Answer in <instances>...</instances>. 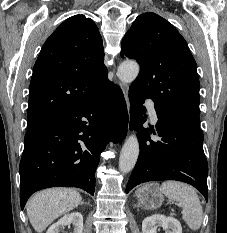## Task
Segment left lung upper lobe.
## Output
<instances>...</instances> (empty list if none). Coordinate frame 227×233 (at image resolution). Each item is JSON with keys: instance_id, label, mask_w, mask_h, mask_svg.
I'll return each instance as SVG.
<instances>
[{"instance_id": "obj_1", "label": "left lung upper lobe", "mask_w": 227, "mask_h": 233, "mask_svg": "<svg viewBox=\"0 0 227 233\" xmlns=\"http://www.w3.org/2000/svg\"><path fill=\"white\" fill-rule=\"evenodd\" d=\"M121 56L140 64L130 88L200 127L197 65L173 25L155 13L139 15L122 40Z\"/></svg>"}]
</instances>
